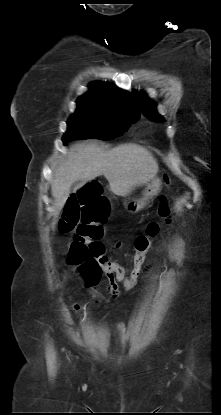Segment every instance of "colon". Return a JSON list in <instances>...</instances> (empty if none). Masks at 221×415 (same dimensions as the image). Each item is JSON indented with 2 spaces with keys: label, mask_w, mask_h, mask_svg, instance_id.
<instances>
[{
  "label": "colon",
  "mask_w": 221,
  "mask_h": 415,
  "mask_svg": "<svg viewBox=\"0 0 221 415\" xmlns=\"http://www.w3.org/2000/svg\"><path fill=\"white\" fill-rule=\"evenodd\" d=\"M166 182L169 183L168 178ZM159 214L162 217L169 215L165 198L160 201ZM107 216V201L101 196L96 185L85 186L69 199L59 223L62 233L76 231L70 245L68 262L78 267L90 283L96 284L102 275L110 283L122 284L123 292L129 293L135 289L137 280L145 269L148 261L147 250L159 227L152 223L148 226L146 234L135 239L136 251L130 257V272L127 275L123 262L103 255L104 246L99 240L103 237V224Z\"/></svg>",
  "instance_id": "5ec220e1"
}]
</instances>
